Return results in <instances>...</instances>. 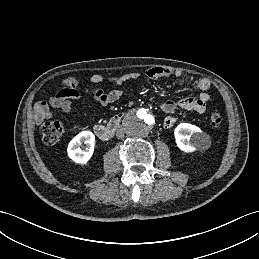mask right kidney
<instances>
[{"label": "right kidney", "instance_id": "ca27d5eb", "mask_svg": "<svg viewBox=\"0 0 259 259\" xmlns=\"http://www.w3.org/2000/svg\"><path fill=\"white\" fill-rule=\"evenodd\" d=\"M83 143L86 145L84 150L80 148ZM94 146V134L90 131H82L70 141L67 148L68 156L76 163L85 164L92 157Z\"/></svg>", "mask_w": 259, "mask_h": 259}]
</instances>
